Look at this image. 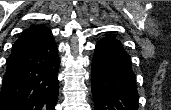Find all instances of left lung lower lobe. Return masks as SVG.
Returning <instances> with one entry per match:
<instances>
[{
	"mask_svg": "<svg viewBox=\"0 0 171 110\" xmlns=\"http://www.w3.org/2000/svg\"><path fill=\"white\" fill-rule=\"evenodd\" d=\"M131 66L129 55L113 36L107 35L96 44L91 73L95 110H137Z\"/></svg>",
	"mask_w": 171,
	"mask_h": 110,
	"instance_id": "1",
	"label": "left lung lower lobe"
}]
</instances>
